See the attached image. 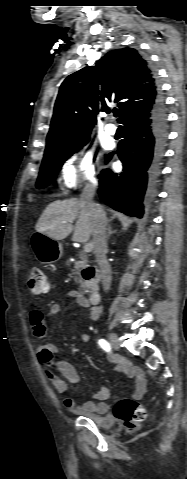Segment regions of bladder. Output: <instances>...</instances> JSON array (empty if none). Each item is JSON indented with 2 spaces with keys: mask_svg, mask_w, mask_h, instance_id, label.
<instances>
[{
  "mask_svg": "<svg viewBox=\"0 0 187 479\" xmlns=\"http://www.w3.org/2000/svg\"><path fill=\"white\" fill-rule=\"evenodd\" d=\"M82 417L90 419L101 428H111L114 425V420L108 416L82 412Z\"/></svg>",
  "mask_w": 187,
  "mask_h": 479,
  "instance_id": "1",
  "label": "bladder"
}]
</instances>
